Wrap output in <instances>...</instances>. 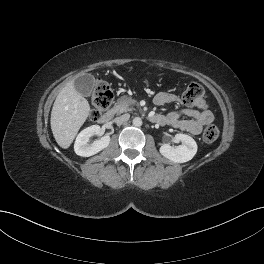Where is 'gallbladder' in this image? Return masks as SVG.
I'll return each mask as SVG.
<instances>
[{"label":"gallbladder","mask_w":264,"mask_h":264,"mask_svg":"<svg viewBox=\"0 0 264 264\" xmlns=\"http://www.w3.org/2000/svg\"><path fill=\"white\" fill-rule=\"evenodd\" d=\"M94 83L95 79L93 75L85 74L75 79L74 87L81 95L90 96L93 91Z\"/></svg>","instance_id":"obj_1"}]
</instances>
